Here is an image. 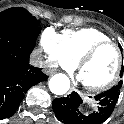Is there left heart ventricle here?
Returning <instances> with one entry per match:
<instances>
[{"label":"left heart ventricle","instance_id":"obj_1","mask_svg":"<svg viewBox=\"0 0 124 124\" xmlns=\"http://www.w3.org/2000/svg\"><path fill=\"white\" fill-rule=\"evenodd\" d=\"M116 67L117 51L114 47H106L82 68L79 76L83 83L98 86L112 78Z\"/></svg>","mask_w":124,"mask_h":124}]
</instances>
